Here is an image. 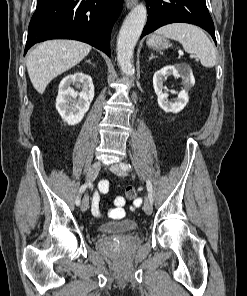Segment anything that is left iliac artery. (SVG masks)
<instances>
[{
    "label": "left iliac artery",
    "mask_w": 247,
    "mask_h": 296,
    "mask_svg": "<svg viewBox=\"0 0 247 296\" xmlns=\"http://www.w3.org/2000/svg\"><path fill=\"white\" fill-rule=\"evenodd\" d=\"M120 167L123 169V170H131V165L130 164H127V163H121L120 164ZM147 190H148V196H149V199H150V202L153 203V197H152V184L151 182L148 180L147 182Z\"/></svg>",
    "instance_id": "left-iliac-artery-1"
}]
</instances>
